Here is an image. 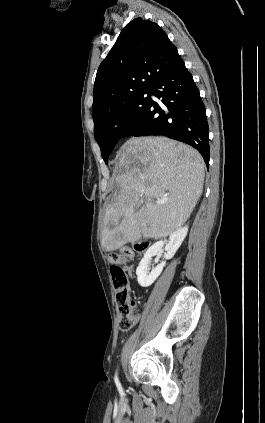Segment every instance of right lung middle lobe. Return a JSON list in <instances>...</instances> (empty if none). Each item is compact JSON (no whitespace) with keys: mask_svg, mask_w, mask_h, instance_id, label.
Segmentation results:
<instances>
[{"mask_svg":"<svg viewBox=\"0 0 265 423\" xmlns=\"http://www.w3.org/2000/svg\"><path fill=\"white\" fill-rule=\"evenodd\" d=\"M150 95V90H146L129 96L94 121L95 139L106 164L118 140L149 107Z\"/></svg>","mask_w":265,"mask_h":423,"instance_id":"right-lung-middle-lobe-1","label":"right lung middle lobe"}]
</instances>
